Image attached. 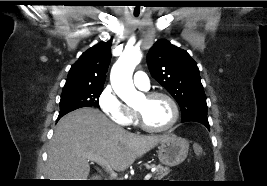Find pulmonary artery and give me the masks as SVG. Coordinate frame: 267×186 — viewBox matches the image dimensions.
<instances>
[{"instance_id": "pulmonary-artery-1", "label": "pulmonary artery", "mask_w": 267, "mask_h": 186, "mask_svg": "<svg viewBox=\"0 0 267 186\" xmlns=\"http://www.w3.org/2000/svg\"><path fill=\"white\" fill-rule=\"evenodd\" d=\"M133 81L138 88L143 90H147L150 86L149 77L141 71L134 74Z\"/></svg>"}]
</instances>
